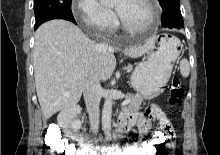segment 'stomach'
Masks as SVG:
<instances>
[{
	"mask_svg": "<svg viewBox=\"0 0 220 155\" xmlns=\"http://www.w3.org/2000/svg\"><path fill=\"white\" fill-rule=\"evenodd\" d=\"M180 41L171 36H157L146 58L131 75V87L142 96H157L170 79L180 51Z\"/></svg>",
	"mask_w": 220,
	"mask_h": 155,
	"instance_id": "1",
	"label": "stomach"
}]
</instances>
